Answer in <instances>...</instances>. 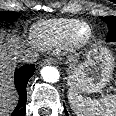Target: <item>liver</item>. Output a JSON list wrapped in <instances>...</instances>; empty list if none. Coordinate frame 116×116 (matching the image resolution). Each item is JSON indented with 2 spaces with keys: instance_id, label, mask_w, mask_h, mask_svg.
<instances>
[{
  "instance_id": "6515ba94",
  "label": "liver",
  "mask_w": 116,
  "mask_h": 116,
  "mask_svg": "<svg viewBox=\"0 0 116 116\" xmlns=\"http://www.w3.org/2000/svg\"><path fill=\"white\" fill-rule=\"evenodd\" d=\"M15 50L8 51L0 44V116L13 108L14 97L10 92V74L15 63Z\"/></svg>"
}]
</instances>
